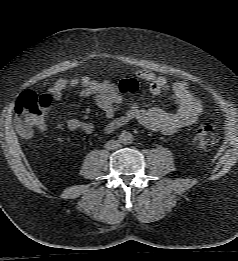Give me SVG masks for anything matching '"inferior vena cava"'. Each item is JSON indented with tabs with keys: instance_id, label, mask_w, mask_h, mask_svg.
Returning <instances> with one entry per match:
<instances>
[{
	"instance_id": "1",
	"label": "inferior vena cava",
	"mask_w": 238,
	"mask_h": 261,
	"mask_svg": "<svg viewBox=\"0 0 238 261\" xmlns=\"http://www.w3.org/2000/svg\"><path fill=\"white\" fill-rule=\"evenodd\" d=\"M120 142L118 140H110L105 144V148L108 150H115L120 147Z\"/></svg>"
}]
</instances>
